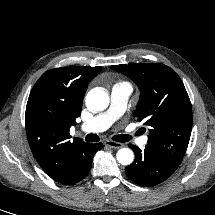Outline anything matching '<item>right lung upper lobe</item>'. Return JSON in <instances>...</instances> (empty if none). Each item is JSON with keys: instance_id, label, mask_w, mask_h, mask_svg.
I'll return each mask as SVG.
<instances>
[{"instance_id": "cb5924a9", "label": "right lung upper lobe", "mask_w": 215, "mask_h": 215, "mask_svg": "<svg viewBox=\"0 0 215 215\" xmlns=\"http://www.w3.org/2000/svg\"><path fill=\"white\" fill-rule=\"evenodd\" d=\"M100 66H72L45 72L27 102L25 123L31 151L42 169L55 181L69 184L78 170V159L88 143L73 142L69 130L81 114L88 82Z\"/></svg>"}]
</instances>
